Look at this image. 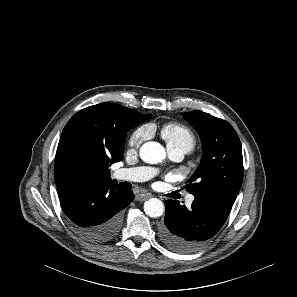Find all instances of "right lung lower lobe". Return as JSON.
<instances>
[{
    "instance_id": "right-lung-lower-lobe-1",
    "label": "right lung lower lobe",
    "mask_w": 297,
    "mask_h": 297,
    "mask_svg": "<svg viewBox=\"0 0 297 297\" xmlns=\"http://www.w3.org/2000/svg\"><path fill=\"white\" fill-rule=\"evenodd\" d=\"M64 213L85 239L103 243L114 239L121 228L122 210L134 194L115 180L82 178L59 191Z\"/></svg>"
}]
</instances>
